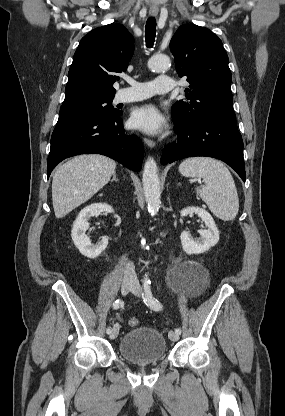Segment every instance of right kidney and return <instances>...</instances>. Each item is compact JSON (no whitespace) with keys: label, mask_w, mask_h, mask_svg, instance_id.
Masks as SVG:
<instances>
[{"label":"right kidney","mask_w":285,"mask_h":416,"mask_svg":"<svg viewBox=\"0 0 285 416\" xmlns=\"http://www.w3.org/2000/svg\"><path fill=\"white\" fill-rule=\"evenodd\" d=\"M101 212H110V214H112L114 210L112 206H108V204H91V206H86V208H83V210L79 212L71 230L72 240L76 248H78L82 256H86V258H90V260L98 258L101 252H104L105 248L108 246V238H106V236L100 240L98 246H94V244H91L90 238L85 234L86 230L89 228L87 220H89L91 216H99Z\"/></svg>","instance_id":"ca27d5eb"}]
</instances>
